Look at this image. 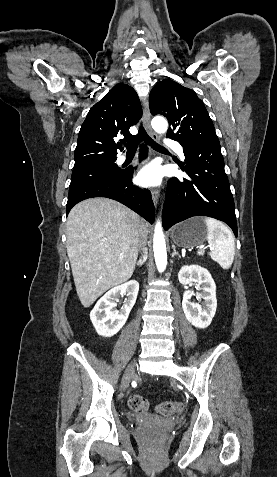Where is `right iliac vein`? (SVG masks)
I'll use <instances>...</instances> for the list:
<instances>
[{
	"label": "right iliac vein",
	"instance_id": "1",
	"mask_svg": "<svg viewBox=\"0 0 277 477\" xmlns=\"http://www.w3.org/2000/svg\"><path fill=\"white\" fill-rule=\"evenodd\" d=\"M134 372H135V363H131L127 367V369L125 371V374L123 376V379H122V386L121 387H122L123 390H125L126 387L128 386V383H129L130 379L132 378Z\"/></svg>",
	"mask_w": 277,
	"mask_h": 477
}]
</instances>
